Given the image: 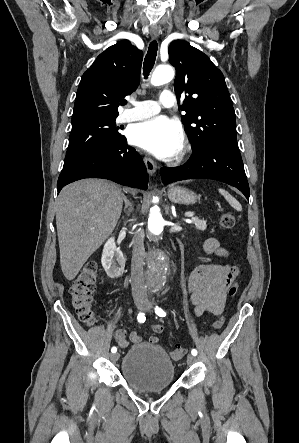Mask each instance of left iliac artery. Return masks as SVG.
Segmentation results:
<instances>
[{
    "instance_id": "44dca946",
    "label": "left iliac artery",
    "mask_w": 299,
    "mask_h": 443,
    "mask_svg": "<svg viewBox=\"0 0 299 443\" xmlns=\"http://www.w3.org/2000/svg\"><path fill=\"white\" fill-rule=\"evenodd\" d=\"M155 313L160 316V317H165L166 313L164 312V310H162L160 307L156 306L155 307ZM191 354L196 356L197 355V350L196 349H192Z\"/></svg>"
}]
</instances>
